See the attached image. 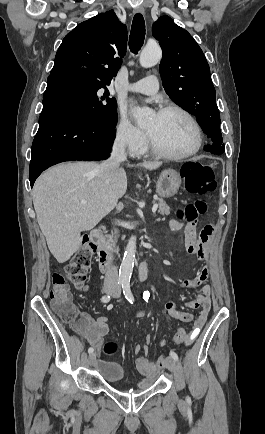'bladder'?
I'll return each instance as SVG.
<instances>
[{"label": "bladder", "instance_id": "bladder-1", "mask_svg": "<svg viewBox=\"0 0 265 434\" xmlns=\"http://www.w3.org/2000/svg\"><path fill=\"white\" fill-rule=\"evenodd\" d=\"M101 377L111 383H119L124 379V368L115 362H101L98 364Z\"/></svg>", "mask_w": 265, "mask_h": 434}]
</instances>
